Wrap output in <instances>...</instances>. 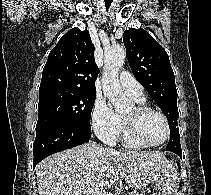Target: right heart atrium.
Returning <instances> with one entry per match:
<instances>
[{
    "label": "right heart atrium",
    "mask_w": 211,
    "mask_h": 195,
    "mask_svg": "<svg viewBox=\"0 0 211 195\" xmlns=\"http://www.w3.org/2000/svg\"><path fill=\"white\" fill-rule=\"evenodd\" d=\"M91 125L101 140L114 144L121 132L122 118L104 98H97L92 110Z\"/></svg>",
    "instance_id": "1"
}]
</instances>
